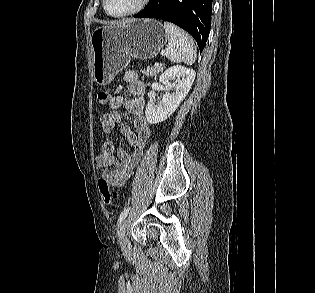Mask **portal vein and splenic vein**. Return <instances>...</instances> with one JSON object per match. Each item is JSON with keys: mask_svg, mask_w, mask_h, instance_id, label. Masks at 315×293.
Here are the masks:
<instances>
[{"mask_svg": "<svg viewBox=\"0 0 315 293\" xmlns=\"http://www.w3.org/2000/svg\"><path fill=\"white\" fill-rule=\"evenodd\" d=\"M159 64L158 63H155V66H158Z\"/></svg>", "mask_w": 315, "mask_h": 293, "instance_id": "obj_1", "label": "portal vein and splenic vein"}]
</instances>
